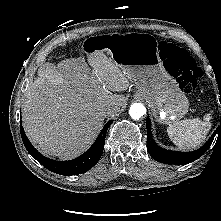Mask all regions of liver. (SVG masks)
Listing matches in <instances>:
<instances>
[{
	"label": "liver",
	"mask_w": 221,
	"mask_h": 221,
	"mask_svg": "<svg viewBox=\"0 0 221 221\" xmlns=\"http://www.w3.org/2000/svg\"><path fill=\"white\" fill-rule=\"evenodd\" d=\"M85 59L45 64L28 87L22 105L23 127L38 150L69 160L83 153L100 132L109 105L126 103L127 75L103 51Z\"/></svg>",
	"instance_id": "6515ba94"
}]
</instances>
